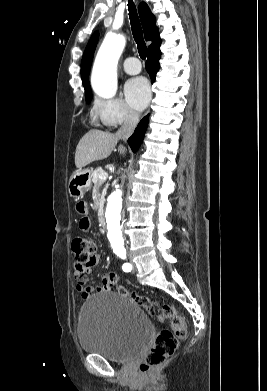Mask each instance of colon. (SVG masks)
I'll use <instances>...</instances> for the list:
<instances>
[{"label":"colon","instance_id":"obj_1","mask_svg":"<svg viewBox=\"0 0 267 391\" xmlns=\"http://www.w3.org/2000/svg\"><path fill=\"white\" fill-rule=\"evenodd\" d=\"M71 248L76 264L80 266H91L96 263L97 244L93 238L78 234L73 238ZM117 282L118 278L115 273L111 272L107 274V283L109 286H116ZM119 292L138 306L144 308L159 321H168L170 323L171 330H161L157 334L154 344L140 364V371L145 375L150 374L174 354L178 348L179 340L186 336L187 328L185 320L171 304L159 305L145 296L129 292L123 288H119Z\"/></svg>","mask_w":267,"mask_h":391}]
</instances>
